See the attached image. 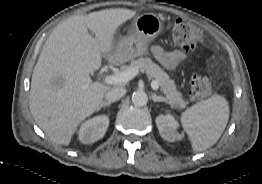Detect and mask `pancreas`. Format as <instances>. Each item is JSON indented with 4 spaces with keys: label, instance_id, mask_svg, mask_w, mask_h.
<instances>
[{
    "label": "pancreas",
    "instance_id": "1",
    "mask_svg": "<svg viewBox=\"0 0 262 184\" xmlns=\"http://www.w3.org/2000/svg\"><path fill=\"white\" fill-rule=\"evenodd\" d=\"M128 68H136L139 71L147 72L151 78L158 82L161 92L172 105L179 108L186 107V102L183 100L182 94L176 90L174 81L150 58L140 57L137 60H132L129 66L123 67V70Z\"/></svg>",
    "mask_w": 262,
    "mask_h": 184
}]
</instances>
